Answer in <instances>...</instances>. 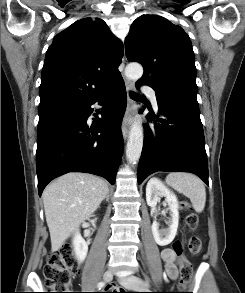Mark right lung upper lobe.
I'll use <instances>...</instances> for the list:
<instances>
[{"instance_id":"1","label":"right lung upper lobe","mask_w":245,"mask_h":293,"mask_svg":"<svg viewBox=\"0 0 245 293\" xmlns=\"http://www.w3.org/2000/svg\"><path fill=\"white\" fill-rule=\"evenodd\" d=\"M123 47L106 23L83 18L54 37L46 52L39 108L76 105L121 77Z\"/></svg>"}]
</instances>
